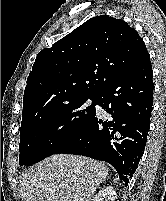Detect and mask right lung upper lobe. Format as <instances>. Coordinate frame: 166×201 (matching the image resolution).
<instances>
[{
  "mask_svg": "<svg viewBox=\"0 0 166 201\" xmlns=\"http://www.w3.org/2000/svg\"><path fill=\"white\" fill-rule=\"evenodd\" d=\"M146 53L144 41L125 21L108 15L87 20L38 53L27 79L23 115L96 96Z\"/></svg>",
  "mask_w": 166,
  "mask_h": 201,
  "instance_id": "1",
  "label": "right lung upper lobe"
}]
</instances>
